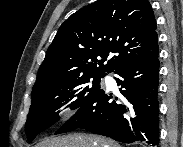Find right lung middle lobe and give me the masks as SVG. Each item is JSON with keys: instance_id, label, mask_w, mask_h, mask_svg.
<instances>
[{"instance_id": "obj_1", "label": "right lung middle lobe", "mask_w": 183, "mask_h": 147, "mask_svg": "<svg viewBox=\"0 0 183 147\" xmlns=\"http://www.w3.org/2000/svg\"><path fill=\"white\" fill-rule=\"evenodd\" d=\"M102 75H87L58 81L48 86L32 90V103L25 124L29 142L37 134L59 120V109L67 105L77 109L90 99L100 87Z\"/></svg>"}]
</instances>
